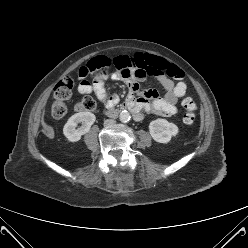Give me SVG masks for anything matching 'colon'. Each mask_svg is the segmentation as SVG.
I'll return each mask as SVG.
<instances>
[{"instance_id":"colon-1","label":"colon","mask_w":248,"mask_h":248,"mask_svg":"<svg viewBox=\"0 0 248 248\" xmlns=\"http://www.w3.org/2000/svg\"><path fill=\"white\" fill-rule=\"evenodd\" d=\"M131 63L126 57H120L117 55L99 56L93 58L85 66L86 74L116 70L123 74L129 73ZM74 87V80L70 76H65L60 79L54 87V102L52 104V115L54 118H62L67 112L68 108L66 101L71 97L72 89ZM96 107L95 101L90 97H85L79 101L76 105V110L80 112L93 111ZM183 108V123L186 125H192L196 121V104L190 97H186L182 101Z\"/></svg>"}]
</instances>
